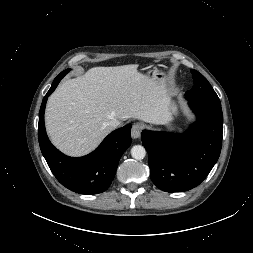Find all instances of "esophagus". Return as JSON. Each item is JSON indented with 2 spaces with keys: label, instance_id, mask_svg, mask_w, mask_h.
<instances>
[{
  "label": "esophagus",
  "instance_id": "esophagus-1",
  "mask_svg": "<svg viewBox=\"0 0 253 253\" xmlns=\"http://www.w3.org/2000/svg\"><path fill=\"white\" fill-rule=\"evenodd\" d=\"M141 132H142V126L138 123L134 124L132 126V130H131V136L134 138V139H137L140 137L141 135Z\"/></svg>",
  "mask_w": 253,
  "mask_h": 253
}]
</instances>
